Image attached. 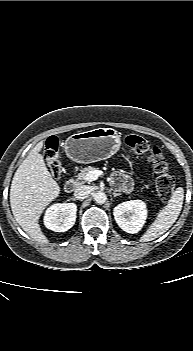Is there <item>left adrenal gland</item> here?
<instances>
[{"mask_svg": "<svg viewBox=\"0 0 193 351\" xmlns=\"http://www.w3.org/2000/svg\"><path fill=\"white\" fill-rule=\"evenodd\" d=\"M112 195H113V197H117V196H120L121 194L113 192Z\"/></svg>", "mask_w": 193, "mask_h": 351, "instance_id": "obj_1", "label": "left adrenal gland"}]
</instances>
